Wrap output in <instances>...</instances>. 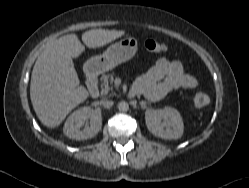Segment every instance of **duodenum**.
Segmentation results:
<instances>
[{"label":"duodenum","instance_id":"1","mask_svg":"<svg viewBox=\"0 0 249 188\" xmlns=\"http://www.w3.org/2000/svg\"><path fill=\"white\" fill-rule=\"evenodd\" d=\"M86 82L91 98L93 99L98 98L100 91L97 83V72L95 70L88 69L86 71ZM131 93L135 95L137 94V90L133 88L131 90Z\"/></svg>","mask_w":249,"mask_h":188}]
</instances>
